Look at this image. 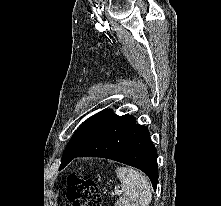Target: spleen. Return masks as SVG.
Instances as JSON below:
<instances>
[{"label":"spleen","mask_w":221,"mask_h":206,"mask_svg":"<svg viewBox=\"0 0 221 206\" xmlns=\"http://www.w3.org/2000/svg\"><path fill=\"white\" fill-rule=\"evenodd\" d=\"M122 196L115 206H149L152 200L151 184L139 171L129 167H117Z\"/></svg>","instance_id":"spleen-1"}]
</instances>
